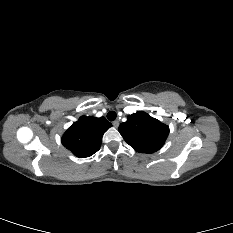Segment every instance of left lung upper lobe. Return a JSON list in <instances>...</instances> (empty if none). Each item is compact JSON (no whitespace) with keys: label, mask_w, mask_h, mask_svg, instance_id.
<instances>
[{"label":"left lung upper lobe","mask_w":233,"mask_h":233,"mask_svg":"<svg viewBox=\"0 0 233 233\" xmlns=\"http://www.w3.org/2000/svg\"><path fill=\"white\" fill-rule=\"evenodd\" d=\"M118 130L126 143L141 153L158 151L169 134L167 125L143 111L129 115L127 121L121 123Z\"/></svg>","instance_id":"obj_1"}]
</instances>
